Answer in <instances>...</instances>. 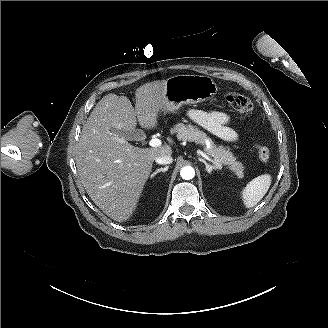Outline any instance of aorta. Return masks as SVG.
I'll use <instances>...</instances> for the list:
<instances>
[{"instance_id": "1", "label": "aorta", "mask_w": 328, "mask_h": 328, "mask_svg": "<svg viewBox=\"0 0 328 328\" xmlns=\"http://www.w3.org/2000/svg\"><path fill=\"white\" fill-rule=\"evenodd\" d=\"M180 175L185 180L193 179L195 176L194 168L191 166H185L181 169Z\"/></svg>"}]
</instances>
